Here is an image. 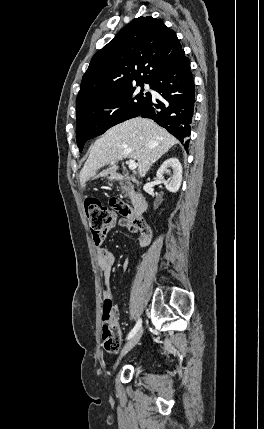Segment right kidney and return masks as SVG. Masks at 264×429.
Returning <instances> with one entry per match:
<instances>
[{
	"label": "right kidney",
	"instance_id": "1",
	"mask_svg": "<svg viewBox=\"0 0 264 429\" xmlns=\"http://www.w3.org/2000/svg\"><path fill=\"white\" fill-rule=\"evenodd\" d=\"M171 169L173 170V175L170 180L166 181L164 179L165 174H170ZM158 180L162 181L166 189L169 192L176 193L182 182V165L179 160L175 157L169 158L163 162L156 173Z\"/></svg>",
	"mask_w": 264,
	"mask_h": 429
}]
</instances>
